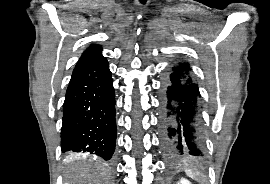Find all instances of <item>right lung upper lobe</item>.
I'll use <instances>...</instances> for the list:
<instances>
[{"label":"right lung upper lobe","instance_id":"cb5924a9","mask_svg":"<svg viewBox=\"0 0 270 184\" xmlns=\"http://www.w3.org/2000/svg\"><path fill=\"white\" fill-rule=\"evenodd\" d=\"M101 59H105L102 56V48L100 45H92L88 47L80 57L78 63L76 64L77 66H81L90 62H95Z\"/></svg>","mask_w":270,"mask_h":184}]
</instances>
